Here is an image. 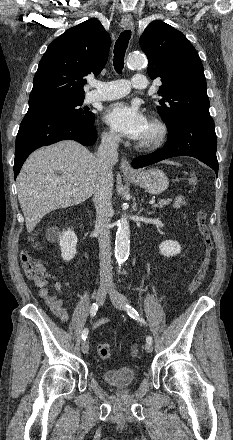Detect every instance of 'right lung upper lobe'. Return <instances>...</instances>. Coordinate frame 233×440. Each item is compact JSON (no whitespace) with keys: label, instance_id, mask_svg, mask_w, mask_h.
Listing matches in <instances>:
<instances>
[{"label":"right lung upper lobe","instance_id":"obj_1","mask_svg":"<svg viewBox=\"0 0 233 440\" xmlns=\"http://www.w3.org/2000/svg\"><path fill=\"white\" fill-rule=\"evenodd\" d=\"M111 39L102 24L87 20L52 41L33 79L29 105L58 98H84L87 75L106 64Z\"/></svg>","mask_w":233,"mask_h":440}]
</instances>
